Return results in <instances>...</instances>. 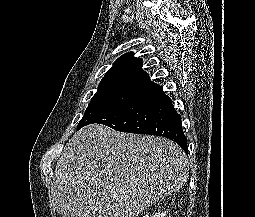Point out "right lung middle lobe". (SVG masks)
Masks as SVG:
<instances>
[{"label":"right lung middle lobe","mask_w":255,"mask_h":217,"mask_svg":"<svg viewBox=\"0 0 255 217\" xmlns=\"http://www.w3.org/2000/svg\"><path fill=\"white\" fill-rule=\"evenodd\" d=\"M144 90L137 86H114L100 88L92 97L77 129L89 124L93 119L138 96Z\"/></svg>","instance_id":"right-lung-middle-lobe-1"}]
</instances>
